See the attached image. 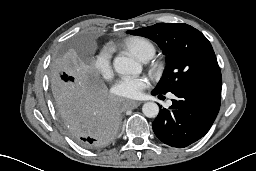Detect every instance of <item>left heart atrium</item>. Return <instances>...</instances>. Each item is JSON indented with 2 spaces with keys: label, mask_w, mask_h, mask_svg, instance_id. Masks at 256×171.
Returning <instances> with one entry per match:
<instances>
[{
  "label": "left heart atrium",
  "mask_w": 256,
  "mask_h": 171,
  "mask_svg": "<svg viewBox=\"0 0 256 171\" xmlns=\"http://www.w3.org/2000/svg\"><path fill=\"white\" fill-rule=\"evenodd\" d=\"M150 82L146 77H123L113 87L114 95L129 99H135L142 95Z\"/></svg>",
  "instance_id": "obj_1"
}]
</instances>
